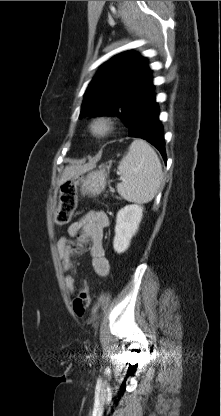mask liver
<instances>
[{
	"label": "liver",
	"mask_w": 221,
	"mask_h": 416,
	"mask_svg": "<svg viewBox=\"0 0 221 416\" xmlns=\"http://www.w3.org/2000/svg\"><path fill=\"white\" fill-rule=\"evenodd\" d=\"M93 165L85 164V165H71L66 166L59 181V185L65 183L67 180L71 179L72 177L79 176L89 169L92 168Z\"/></svg>",
	"instance_id": "liver-1"
}]
</instances>
